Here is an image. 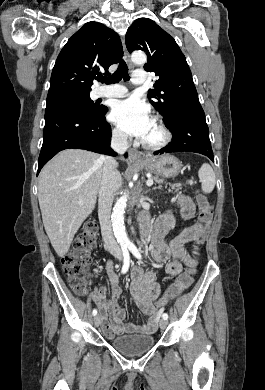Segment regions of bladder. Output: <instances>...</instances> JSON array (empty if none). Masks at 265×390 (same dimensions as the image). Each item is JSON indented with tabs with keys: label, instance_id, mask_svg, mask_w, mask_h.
Wrapping results in <instances>:
<instances>
[{
	"label": "bladder",
	"instance_id": "obj_1",
	"mask_svg": "<svg viewBox=\"0 0 265 390\" xmlns=\"http://www.w3.org/2000/svg\"><path fill=\"white\" fill-rule=\"evenodd\" d=\"M155 338L148 334L120 335L110 338L111 346L127 357H137L148 352Z\"/></svg>",
	"mask_w": 265,
	"mask_h": 390
}]
</instances>
